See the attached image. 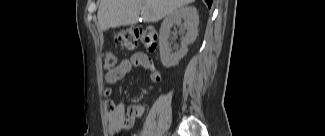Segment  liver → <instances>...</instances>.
<instances>
[{
	"instance_id": "6515ba94",
	"label": "liver",
	"mask_w": 325,
	"mask_h": 136,
	"mask_svg": "<svg viewBox=\"0 0 325 136\" xmlns=\"http://www.w3.org/2000/svg\"><path fill=\"white\" fill-rule=\"evenodd\" d=\"M194 0H101L98 25L101 31L136 24L139 15L146 23L158 22Z\"/></svg>"
}]
</instances>
